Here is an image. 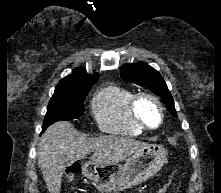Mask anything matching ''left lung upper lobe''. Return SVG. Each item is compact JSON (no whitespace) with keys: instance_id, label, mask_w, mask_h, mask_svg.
<instances>
[{"instance_id":"5c2ea615","label":"left lung upper lobe","mask_w":221,"mask_h":193,"mask_svg":"<svg viewBox=\"0 0 221 193\" xmlns=\"http://www.w3.org/2000/svg\"><path fill=\"white\" fill-rule=\"evenodd\" d=\"M120 76L123 80L144 86L160 96L169 112L177 117L171 93L158 71L144 63L127 64L121 66Z\"/></svg>"}]
</instances>
